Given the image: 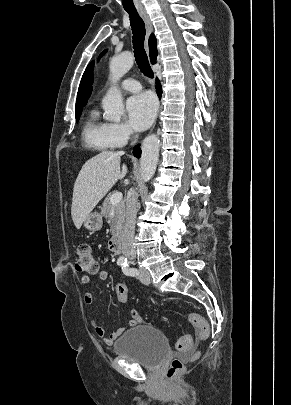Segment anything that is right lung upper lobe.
Returning a JSON list of instances; mask_svg holds the SVG:
<instances>
[{
	"mask_svg": "<svg viewBox=\"0 0 291 405\" xmlns=\"http://www.w3.org/2000/svg\"><path fill=\"white\" fill-rule=\"evenodd\" d=\"M157 41L155 36L152 34L149 38V49H150V60L153 64L156 63V58H157ZM92 68H93V62H91L83 76L80 82V86L78 89L77 93V99H76V107L75 109L78 108H83V106L86 105L88 98L90 97V94L92 92V82H93V75H92Z\"/></svg>",
	"mask_w": 291,
	"mask_h": 405,
	"instance_id": "cb5924a9",
	"label": "right lung upper lobe"
}]
</instances>
